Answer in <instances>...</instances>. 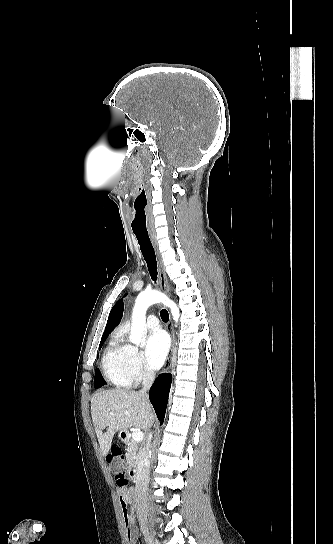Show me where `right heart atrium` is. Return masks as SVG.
I'll list each match as a JSON object with an SVG mask.
<instances>
[{
    "label": "right heart atrium",
    "mask_w": 333,
    "mask_h": 544,
    "mask_svg": "<svg viewBox=\"0 0 333 544\" xmlns=\"http://www.w3.org/2000/svg\"><path fill=\"white\" fill-rule=\"evenodd\" d=\"M124 362L131 384H138L153 376V372L145 363L142 352L131 344H124Z\"/></svg>",
    "instance_id": "1"
}]
</instances>
